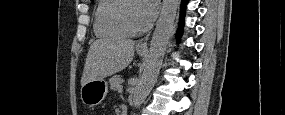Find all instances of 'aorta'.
Returning a JSON list of instances; mask_svg holds the SVG:
<instances>
[{
    "label": "aorta",
    "mask_w": 285,
    "mask_h": 115,
    "mask_svg": "<svg viewBox=\"0 0 285 115\" xmlns=\"http://www.w3.org/2000/svg\"><path fill=\"white\" fill-rule=\"evenodd\" d=\"M179 0H163V6L150 44V52L140 81L133 93V106L138 108L154 86L165 50L173 30Z\"/></svg>",
    "instance_id": "1"
}]
</instances>
